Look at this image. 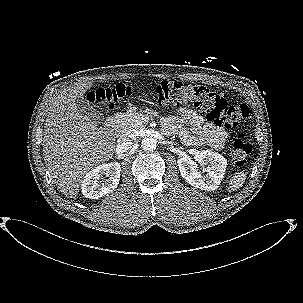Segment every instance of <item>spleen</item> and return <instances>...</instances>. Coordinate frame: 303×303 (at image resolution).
<instances>
[{"label":"spleen","mask_w":303,"mask_h":303,"mask_svg":"<svg viewBox=\"0 0 303 303\" xmlns=\"http://www.w3.org/2000/svg\"><path fill=\"white\" fill-rule=\"evenodd\" d=\"M245 179L246 173H244L243 171L235 173L229 181V191L236 190L237 188H239L245 182Z\"/></svg>","instance_id":"obj_1"}]
</instances>
